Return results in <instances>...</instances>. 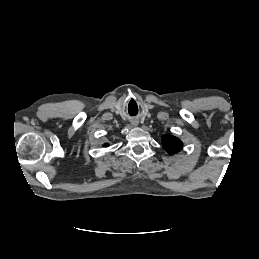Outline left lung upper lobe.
Instances as JSON below:
<instances>
[{
  "instance_id": "obj_1",
  "label": "left lung upper lobe",
  "mask_w": 259,
  "mask_h": 259,
  "mask_svg": "<svg viewBox=\"0 0 259 259\" xmlns=\"http://www.w3.org/2000/svg\"><path fill=\"white\" fill-rule=\"evenodd\" d=\"M162 143L163 148L171 155L179 152L183 145L178 138L170 135H164L162 138Z\"/></svg>"
}]
</instances>
